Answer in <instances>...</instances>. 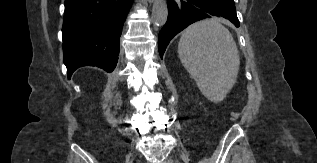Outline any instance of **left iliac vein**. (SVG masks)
<instances>
[{"label": "left iliac vein", "instance_id": "1", "mask_svg": "<svg viewBox=\"0 0 317 163\" xmlns=\"http://www.w3.org/2000/svg\"><path fill=\"white\" fill-rule=\"evenodd\" d=\"M164 163H172L171 160H166Z\"/></svg>", "mask_w": 317, "mask_h": 163}]
</instances>
